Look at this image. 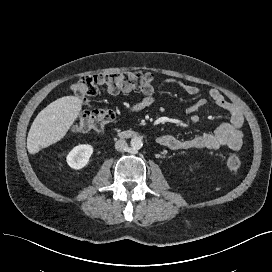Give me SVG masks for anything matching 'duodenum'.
Here are the masks:
<instances>
[{"label":"duodenum","mask_w":272,"mask_h":272,"mask_svg":"<svg viewBox=\"0 0 272 272\" xmlns=\"http://www.w3.org/2000/svg\"><path fill=\"white\" fill-rule=\"evenodd\" d=\"M120 135H122L123 137L131 138L135 137L137 134L132 130H123L120 132Z\"/></svg>","instance_id":"duodenum-1"}]
</instances>
